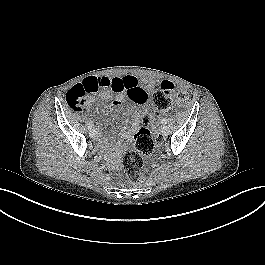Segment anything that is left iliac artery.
Returning a JSON list of instances; mask_svg holds the SVG:
<instances>
[{"instance_id":"obj_1","label":"left iliac artery","mask_w":265,"mask_h":265,"mask_svg":"<svg viewBox=\"0 0 265 265\" xmlns=\"http://www.w3.org/2000/svg\"><path fill=\"white\" fill-rule=\"evenodd\" d=\"M167 122H168L167 118H163L162 121H161V123L164 124V125L167 124Z\"/></svg>"}]
</instances>
